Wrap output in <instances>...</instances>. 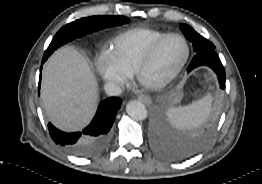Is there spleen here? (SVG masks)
<instances>
[{"label":"spleen","mask_w":262,"mask_h":184,"mask_svg":"<svg viewBox=\"0 0 262 184\" xmlns=\"http://www.w3.org/2000/svg\"><path fill=\"white\" fill-rule=\"evenodd\" d=\"M212 100V96L208 94L190 105L170 108L167 111V116L172 124L178 128L190 129L197 127L209 116Z\"/></svg>","instance_id":"3e777b00"}]
</instances>
